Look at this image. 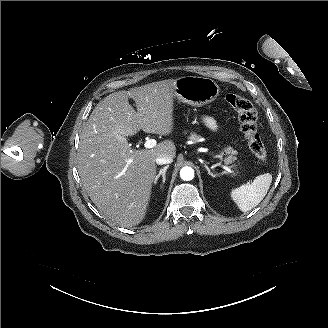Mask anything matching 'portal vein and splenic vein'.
Returning <instances> with one entry per match:
<instances>
[{"instance_id":"18ae733b","label":"portal vein and splenic vein","mask_w":328,"mask_h":328,"mask_svg":"<svg viewBox=\"0 0 328 328\" xmlns=\"http://www.w3.org/2000/svg\"><path fill=\"white\" fill-rule=\"evenodd\" d=\"M156 145V141L154 139H148L144 142L143 147L145 149H151ZM218 166L221 168L226 169L227 172L234 174L235 176H237L239 179H242V176L239 173H235L234 170L230 169V167L226 166V165H222L221 163H218Z\"/></svg>"}]
</instances>
